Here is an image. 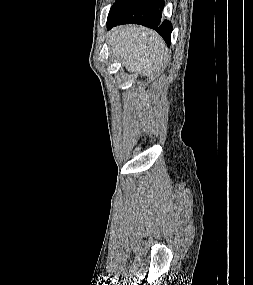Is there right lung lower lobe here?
I'll use <instances>...</instances> for the list:
<instances>
[{
  "label": "right lung lower lobe",
  "mask_w": 253,
  "mask_h": 285,
  "mask_svg": "<svg viewBox=\"0 0 253 285\" xmlns=\"http://www.w3.org/2000/svg\"><path fill=\"white\" fill-rule=\"evenodd\" d=\"M163 0H116L107 18V29L120 24H141L155 29L170 46L172 25L161 22Z\"/></svg>",
  "instance_id": "1"
}]
</instances>
